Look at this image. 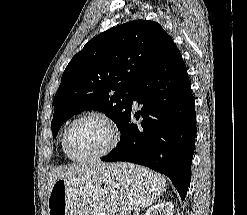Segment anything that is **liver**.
<instances>
[{
  "label": "liver",
  "mask_w": 247,
  "mask_h": 215,
  "mask_svg": "<svg viewBox=\"0 0 247 215\" xmlns=\"http://www.w3.org/2000/svg\"><path fill=\"white\" fill-rule=\"evenodd\" d=\"M106 165L102 162H91L55 168L49 173L48 192L50 193L53 184L60 178H67L72 182L82 180L92 172L104 168Z\"/></svg>",
  "instance_id": "liver-1"
}]
</instances>
